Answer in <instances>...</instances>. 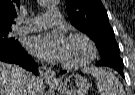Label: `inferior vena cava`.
Instances as JSON below:
<instances>
[{"label": "inferior vena cava", "instance_id": "1", "mask_svg": "<svg viewBox=\"0 0 135 95\" xmlns=\"http://www.w3.org/2000/svg\"><path fill=\"white\" fill-rule=\"evenodd\" d=\"M35 77L32 74H28L27 75V85H26V91L24 93V95H32V91H31V87H32V83L34 81Z\"/></svg>", "mask_w": 135, "mask_h": 95}]
</instances>
